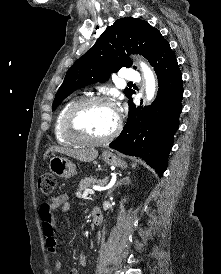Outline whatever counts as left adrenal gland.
Instances as JSON below:
<instances>
[{
    "label": "left adrenal gland",
    "instance_id": "obj_1",
    "mask_svg": "<svg viewBox=\"0 0 221 274\" xmlns=\"http://www.w3.org/2000/svg\"><path fill=\"white\" fill-rule=\"evenodd\" d=\"M130 183V179L129 177H124L122 179H120L119 181L116 182V184L108 191L107 195H110L116 187H119L123 184H129Z\"/></svg>",
    "mask_w": 221,
    "mask_h": 274
}]
</instances>
